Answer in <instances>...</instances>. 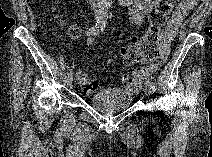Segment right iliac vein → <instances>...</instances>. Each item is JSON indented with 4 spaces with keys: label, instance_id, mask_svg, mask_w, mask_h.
I'll return each instance as SVG.
<instances>
[{
    "label": "right iliac vein",
    "instance_id": "right-iliac-vein-1",
    "mask_svg": "<svg viewBox=\"0 0 212 157\" xmlns=\"http://www.w3.org/2000/svg\"><path fill=\"white\" fill-rule=\"evenodd\" d=\"M72 81H73L72 75H68V77H67V84L70 85L72 83Z\"/></svg>",
    "mask_w": 212,
    "mask_h": 157
}]
</instances>
